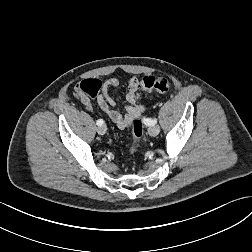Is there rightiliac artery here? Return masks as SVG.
<instances>
[{"label": "right iliac artery", "instance_id": "1", "mask_svg": "<svg viewBox=\"0 0 252 252\" xmlns=\"http://www.w3.org/2000/svg\"><path fill=\"white\" fill-rule=\"evenodd\" d=\"M96 124H97L98 126H101V125L104 124V121H103L102 119H99V120H97Z\"/></svg>", "mask_w": 252, "mask_h": 252}]
</instances>
